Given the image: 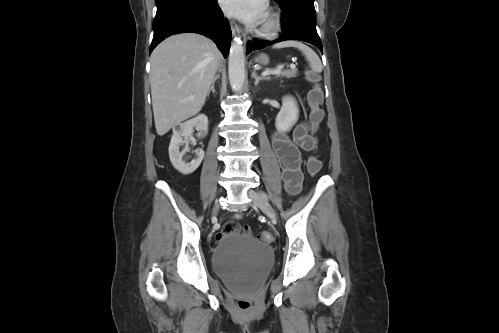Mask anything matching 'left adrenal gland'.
<instances>
[{
    "label": "left adrenal gland",
    "mask_w": 499,
    "mask_h": 333,
    "mask_svg": "<svg viewBox=\"0 0 499 333\" xmlns=\"http://www.w3.org/2000/svg\"><path fill=\"white\" fill-rule=\"evenodd\" d=\"M251 77L255 79V83H254V84H255V86H257V85L259 84V82H260V81H263V80L268 79V78H266V77H260V76H257L256 71H253V72H252Z\"/></svg>",
    "instance_id": "a2214340"
}]
</instances>
